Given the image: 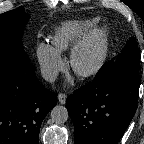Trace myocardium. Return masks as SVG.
Listing matches in <instances>:
<instances>
[{
  "instance_id": "1",
  "label": "myocardium",
  "mask_w": 144,
  "mask_h": 144,
  "mask_svg": "<svg viewBox=\"0 0 144 144\" xmlns=\"http://www.w3.org/2000/svg\"><path fill=\"white\" fill-rule=\"evenodd\" d=\"M109 48V31L106 27L90 31L71 50L69 64L72 71L82 79L95 76L105 64ZM90 49L96 51L95 57L89 64L82 65L80 61Z\"/></svg>"
}]
</instances>
